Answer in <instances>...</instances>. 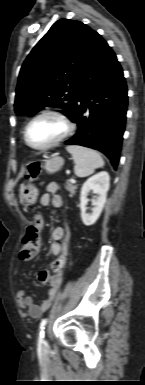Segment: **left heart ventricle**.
Instances as JSON below:
<instances>
[{"label": "left heart ventricle", "mask_w": 145, "mask_h": 385, "mask_svg": "<svg viewBox=\"0 0 145 385\" xmlns=\"http://www.w3.org/2000/svg\"><path fill=\"white\" fill-rule=\"evenodd\" d=\"M64 131L65 125L61 120L53 116H44L32 123L28 139L34 146H44L59 138Z\"/></svg>", "instance_id": "obj_1"}]
</instances>
